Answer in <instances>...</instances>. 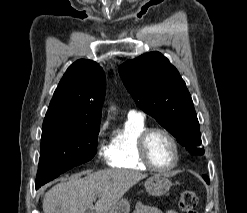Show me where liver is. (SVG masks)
<instances>
[{"mask_svg":"<svg viewBox=\"0 0 247 213\" xmlns=\"http://www.w3.org/2000/svg\"><path fill=\"white\" fill-rule=\"evenodd\" d=\"M72 176L48 190L43 197L44 213H85L88 209L103 213L115 205L123 195L147 177L130 170H101ZM98 198L95 205L93 202Z\"/></svg>","mask_w":247,"mask_h":213,"instance_id":"obj_1","label":"liver"}]
</instances>
